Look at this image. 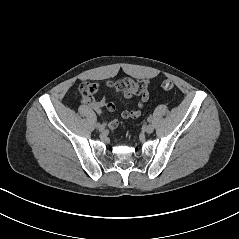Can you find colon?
Listing matches in <instances>:
<instances>
[{
  "label": "colon",
  "mask_w": 239,
  "mask_h": 239,
  "mask_svg": "<svg viewBox=\"0 0 239 239\" xmlns=\"http://www.w3.org/2000/svg\"><path fill=\"white\" fill-rule=\"evenodd\" d=\"M161 88L164 89V90H171L173 89L174 87V83L169 80V79H164L161 81V84H160ZM94 87L92 86V84L90 83H87V84H84L82 87H81V94L83 96H90L93 92H94Z\"/></svg>",
  "instance_id": "obj_1"
}]
</instances>
